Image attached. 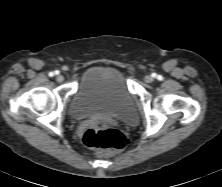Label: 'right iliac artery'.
<instances>
[{
	"label": "right iliac artery",
	"mask_w": 222,
	"mask_h": 187,
	"mask_svg": "<svg viewBox=\"0 0 222 187\" xmlns=\"http://www.w3.org/2000/svg\"><path fill=\"white\" fill-rule=\"evenodd\" d=\"M58 73H59L58 71L50 72V73H49V76H50V77H53L55 74H58Z\"/></svg>",
	"instance_id": "1"
}]
</instances>
